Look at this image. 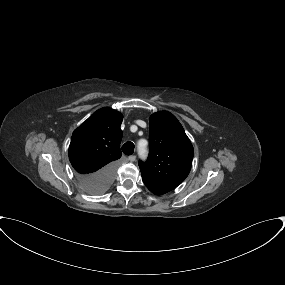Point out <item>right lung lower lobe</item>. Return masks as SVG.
I'll list each match as a JSON object with an SVG mask.
<instances>
[{
    "mask_svg": "<svg viewBox=\"0 0 285 285\" xmlns=\"http://www.w3.org/2000/svg\"><path fill=\"white\" fill-rule=\"evenodd\" d=\"M117 164L111 163L101 170L87 175L79 174L78 179L83 189L91 194L105 192L112 184Z\"/></svg>",
    "mask_w": 285,
    "mask_h": 285,
    "instance_id": "obj_1",
    "label": "right lung lower lobe"
}]
</instances>
